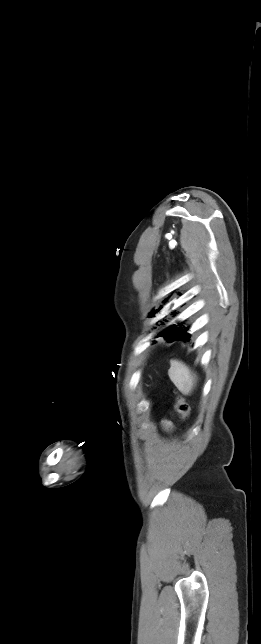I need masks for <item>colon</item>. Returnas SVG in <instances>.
Instances as JSON below:
<instances>
[{
  "label": "colon",
  "mask_w": 261,
  "mask_h": 644,
  "mask_svg": "<svg viewBox=\"0 0 261 644\" xmlns=\"http://www.w3.org/2000/svg\"><path fill=\"white\" fill-rule=\"evenodd\" d=\"M175 409L179 413V415L183 418L188 417L190 412V407L188 402L186 401L185 398L181 396H177L176 398Z\"/></svg>",
  "instance_id": "colon-1"
}]
</instances>
